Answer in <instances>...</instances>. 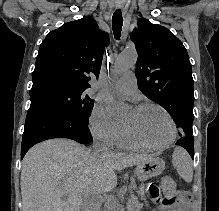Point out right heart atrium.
I'll return each mask as SVG.
<instances>
[{
    "label": "right heart atrium",
    "mask_w": 219,
    "mask_h": 211,
    "mask_svg": "<svg viewBox=\"0 0 219 211\" xmlns=\"http://www.w3.org/2000/svg\"><path fill=\"white\" fill-rule=\"evenodd\" d=\"M88 123L91 133L97 141L109 147L117 144L123 127L110 116L105 106L94 104Z\"/></svg>",
    "instance_id": "1"
}]
</instances>
